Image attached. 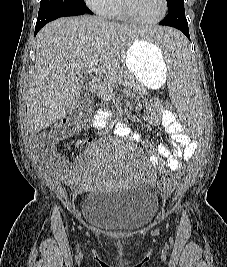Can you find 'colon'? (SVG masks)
<instances>
[{
	"label": "colon",
	"instance_id": "1",
	"mask_svg": "<svg viewBox=\"0 0 227 267\" xmlns=\"http://www.w3.org/2000/svg\"><path fill=\"white\" fill-rule=\"evenodd\" d=\"M162 108L169 109V112H172L174 108L172 100H163ZM89 109V103L87 100H81L77 105L75 122L81 123ZM69 131V123H63L57 125L53 128V130L46 136L43 137L44 141H58L65 137ZM183 175L182 169H163V173H161V178L159 179L158 188L160 193L164 195L171 194L175 187V178H180Z\"/></svg>",
	"mask_w": 227,
	"mask_h": 267
}]
</instances>
